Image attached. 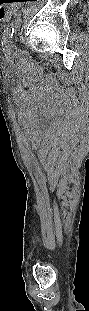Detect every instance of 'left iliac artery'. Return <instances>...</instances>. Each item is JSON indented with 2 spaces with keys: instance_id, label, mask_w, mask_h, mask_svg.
<instances>
[{
  "instance_id": "44dca946",
  "label": "left iliac artery",
  "mask_w": 89,
  "mask_h": 311,
  "mask_svg": "<svg viewBox=\"0 0 89 311\" xmlns=\"http://www.w3.org/2000/svg\"><path fill=\"white\" fill-rule=\"evenodd\" d=\"M13 33H14V24L11 23L4 30V33H3V36H2V45L5 48L11 47Z\"/></svg>"
}]
</instances>
